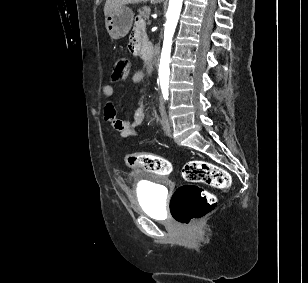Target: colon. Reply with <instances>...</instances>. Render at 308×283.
I'll use <instances>...</instances> for the list:
<instances>
[{"label": "colon", "mask_w": 308, "mask_h": 283, "mask_svg": "<svg viewBox=\"0 0 308 283\" xmlns=\"http://www.w3.org/2000/svg\"><path fill=\"white\" fill-rule=\"evenodd\" d=\"M130 67L127 58L118 59L113 66L112 79H125L129 75ZM125 162L131 168H141L159 175L172 172V165L167 159L151 153L127 154ZM182 177L187 183L174 191L170 206L174 219L183 225H190L202 219L216 206L214 195L198 184L204 183L218 190H228L232 183L226 170L202 160L187 162L182 169Z\"/></svg>", "instance_id": "1"}]
</instances>
